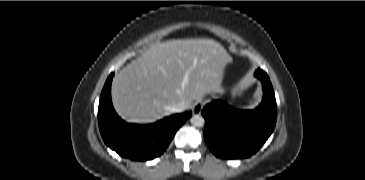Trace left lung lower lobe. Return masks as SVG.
Here are the masks:
<instances>
[{
    "mask_svg": "<svg viewBox=\"0 0 365 180\" xmlns=\"http://www.w3.org/2000/svg\"><path fill=\"white\" fill-rule=\"evenodd\" d=\"M262 82L263 99L254 110H237L223 101H213L202 110L204 137L219 158H247L266 142L274 130L277 105L268 75L261 69L254 74Z\"/></svg>",
    "mask_w": 365,
    "mask_h": 180,
    "instance_id": "0a47b994",
    "label": "left lung lower lobe"
}]
</instances>
